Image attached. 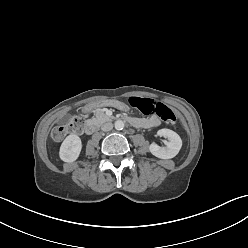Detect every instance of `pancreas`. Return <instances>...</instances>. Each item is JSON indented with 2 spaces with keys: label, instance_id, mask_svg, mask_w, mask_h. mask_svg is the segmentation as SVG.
I'll list each match as a JSON object with an SVG mask.
<instances>
[{
  "label": "pancreas",
  "instance_id": "1",
  "mask_svg": "<svg viewBox=\"0 0 248 248\" xmlns=\"http://www.w3.org/2000/svg\"><path fill=\"white\" fill-rule=\"evenodd\" d=\"M112 118L107 116L103 111L98 110L95 114V117L93 118V120L98 123V124H102L106 121H110Z\"/></svg>",
  "mask_w": 248,
  "mask_h": 248
}]
</instances>
